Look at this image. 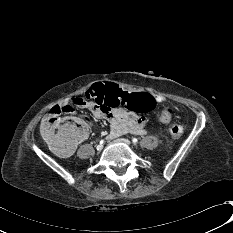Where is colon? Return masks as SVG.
<instances>
[{"label": "colon", "instance_id": "obj_1", "mask_svg": "<svg viewBox=\"0 0 233 233\" xmlns=\"http://www.w3.org/2000/svg\"><path fill=\"white\" fill-rule=\"evenodd\" d=\"M85 97L93 100L95 105L100 104L107 108L120 107L141 114H149L156 107V100L150 93L131 91L113 80L95 82ZM74 110L72 105L56 106L44 118L41 126L48 144L63 157L69 156L76 142L84 139L89 131L88 121L84 118L63 121L62 115L73 113ZM172 112V109L167 107L157 109L155 114L159 120L167 122L171 119ZM168 132L171 137L179 138L183 135L184 129L180 124L172 123L168 126Z\"/></svg>", "mask_w": 233, "mask_h": 233}]
</instances>
